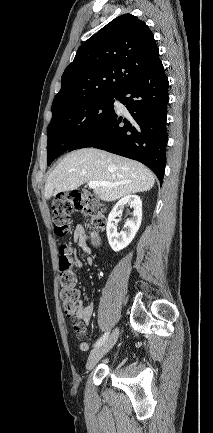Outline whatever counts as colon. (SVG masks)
<instances>
[{"label": "colon", "instance_id": "5ec220e1", "mask_svg": "<svg viewBox=\"0 0 213 433\" xmlns=\"http://www.w3.org/2000/svg\"><path fill=\"white\" fill-rule=\"evenodd\" d=\"M74 210H80L89 220L93 229L101 231L105 227V206L94 196L81 191L60 196L52 209V224L58 236L70 230L71 216ZM72 252L68 245L59 248L60 299L65 314L73 317L78 309L79 292L75 288V275L71 270ZM78 337L83 334V327L78 321L73 322Z\"/></svg>", "mask_w": 213, "mask_h": 433}]
</instances>
